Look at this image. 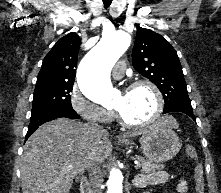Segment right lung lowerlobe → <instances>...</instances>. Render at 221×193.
<instances>
[{
  "label": "right lung lower lobe",
  "instance_id": "1",
  "mask_svg": "<svg viewBox=\"0 0 221 193\" xmlns=\"http://www.w3.org/2000/svg\"><path fill=\"white\" fill-rule=\"evenodd\" d=\"M60 117L78 119L80 116L74 110L67 109H48L31 115L30 124L25 140L43 123Z\"/></svg>",
  "mask_w": 221,
  "mask_h": 193
}]
</instances>
